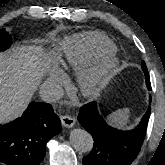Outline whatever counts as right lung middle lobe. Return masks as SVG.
<instances>
[{"label": "right lung middle lobe", "mask_w": 165, "mask_h": 165, "mask_svg": "<svg viewBox=\"0 0 165 165\" xmlns=\"http://www.w3.org/2000/svg\"><path fill=\"white\" fill-rule=\"evenodd\" d=\"M11 45V36L5 29L0 30V51L6 50Z\"/></svg>", "instance_id": "right-lung-middle-lobe-1"}]
</instances>
